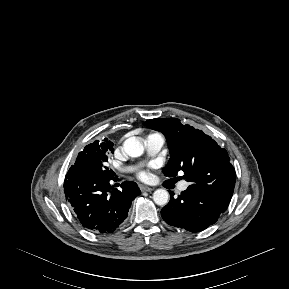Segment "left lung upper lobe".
Wrapping results in <instances>:
<instances>
[{"label":"left lung upper lobe","instance_id":"5c2ea615","mask_svg":"<svg viewBox=\"0 0 289 289\" xmlns=\"http://www.w3.org/2000/svg\"><path fill=\"white\" fill-rule=\"evenodd\" d=\"M146 123L167 139L171 157L163 169L166 176L175 177L182 170L183 178L190 183L188 188L230 202L236 172L225 149L202 131L182 125L177 118L150 119Z\"/></svg>","mask_w":289,"mask_h":289}]
</instances>
